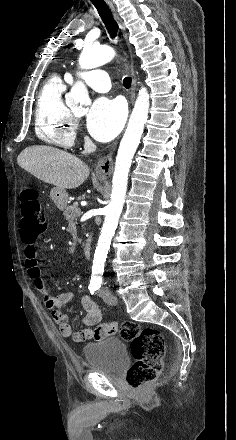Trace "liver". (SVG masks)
Returning a JSON list of instances; mask_svg holds the SVG:
<instances>
[{
	"instance_id": "obj_1",
	"label": "liver",
	"mask_w": 236,
	"mask_h": 440,
	"mask_svg": "<svg viewBox=\"0 0 236 440\" xmlns=\"http://www.w3.org/2000/svg\"><path fill=\"white\" fill-rule=\"evenodd\" d=\"M17 163L37 179L60 189H75L89 176V168L83 161L50 146L35 145L24 149Z\"/></svg>"
}]
</instances>
